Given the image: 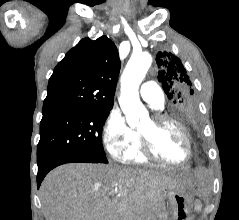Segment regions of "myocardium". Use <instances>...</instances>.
<instances>
[{
    "instance_id": "myocardium-1",
    "label": "myocardium",
    "mask_w": 239,
    "mask_h": 220,
    "mask_svg": "<svg viewBox=\"0 0 239 220\" xmlns=\"http://www.w3.org/2000/svg\"><path fill=\"white\" fill-rule=\"evenodd\" d=\"M151 120L154 123V125L157 127L161 125H165V124H172L179 128L186 143V156L181 161H170L168 159L161 157L156 152L151 139L147 137L146 135H144L141 131H139L140 137H141L140 147H141L142 153L150 160H153L162 164L170 165V166H181L187 163L192 156V143H191L190 135L185 125L181 123L180 121H178L177 119L169 115L161 114V113L154 114L151 117Z\"/></svg>"
}]
</instances>
